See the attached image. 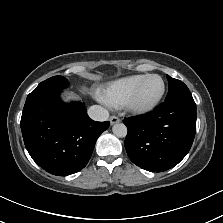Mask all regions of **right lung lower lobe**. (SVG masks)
Segmentation results:
<instances>
[{"label": "right lung lower lobe", "instance_id": "obj_1", "mask_svg": "<svg viewBox=\"0 0 223 223\" xmlns=\"http://www.w3.org/2000/svg\"><path fill=\"white\" fill-rule=\"evenodd\" d=\"M60 92L26 99L20 126L32 159L47 172L66 176L86 166L110 122L93 121L83 103H64Z\"/></svg>", "mask_w": 223, "mask_h": 223}]
</instances>
